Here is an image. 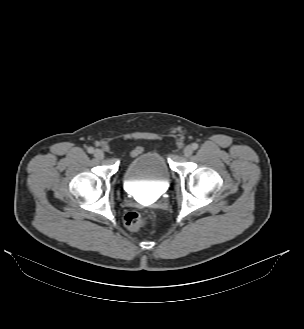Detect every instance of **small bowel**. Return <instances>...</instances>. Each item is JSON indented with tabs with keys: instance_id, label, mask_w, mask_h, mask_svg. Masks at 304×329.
Masks as SVG:
<instances>
[{
	"instance_id": "c3829d8e",
	"label": "small bowel",
	"mask_w": 304,
	"mask_h": 329,
	"mask_svg": "<svg viewBox=\"0 0 304 329\" xmlns=\"http://www.w3.org/2000/svg\"><path fill=\"white\" fill-rule=\"evenodd\" d=\"M141 152V148H136L133 152H132V156H136Z\"/></svg>"
}]
</instances>
